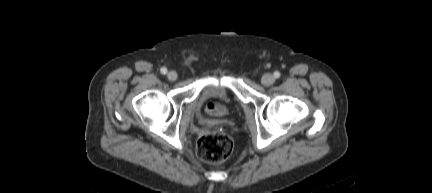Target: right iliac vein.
I'll list each match as a JSON object with an SVG mask.
<instances>
[{"instance_id": "obj_1", "label": "right iliac vein", "mask_w": 432, "mask_h": 193, "mask_svg": "<svg viewBox=\"0 0 432 193\" xmlns=\"http://www.w3.org/2000/svg\"><path fill=\"white\" fill-rule=\"evenodd\" d=\"M167 78H168L170 81H175V80L177 79V73H176L175 71H170V72H168V74H167Z\"/></svg>"}]
</instances>
